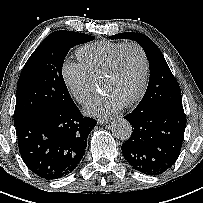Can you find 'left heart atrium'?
<instances>
[{
    "mask_svg": "<svg viewBox=\"0 0 203 203\" xmlns=\"http://www.w3.org/2000/svg\"><path fill=\"white\" fill-rule=\"evenodd\" d=\"M123 107V103L109 94H102L90 100L85 108V112L90 115L107 117L118 112Z\"/></svg>",
    "mask_w": 203,
    "mask_h": 203,
    "instance_id": "39dd6f15",
    "label": "left heart atrium"
}]
</instances>
